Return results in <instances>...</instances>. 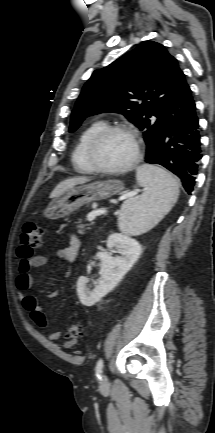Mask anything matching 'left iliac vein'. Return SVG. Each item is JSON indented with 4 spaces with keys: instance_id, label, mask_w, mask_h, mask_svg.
<instances>
[{
    "instance_id": "4c4485c4",
    "label": "left iliac vein",
    "mask_w": 215,
    "mask_h": 433,
    "mask_svg": "<svg viewBox=\"0 0 215 433\" xmlns=\"http://www.w3.org/2000/svg\"><path fill=\"white\" fill-rule=\"evenodd\" d=\"M106 381H107V378H106V376H105V375H103V378H102V383H106Z\"/></svg>"
}]
</instances>
